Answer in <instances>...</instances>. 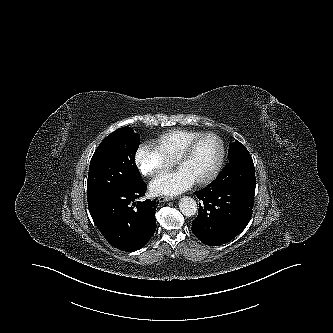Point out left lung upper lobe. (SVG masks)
<instances>
[{
  "label": "left lung upper lobe",
  "instance_id": "1",
  "mask_svg": "<svg viewBox=\"0 0 333 333\" xmlns=\"http://www.w3.org/2000/svg\"><path fill=\"white\" fill-rule=\"evenodd\" d=\"M229 163L225 166L234 173V182L237 187L243 188L249 192L255 193L256 179L253 160L239 141L229 144L228 150Z\"/></svg>",
  "mask_w": 333,
  "mask_h": 333
}]
</instances>
